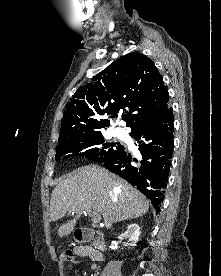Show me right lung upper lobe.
Listing matches in <instances>:
<instances>
[{
  "instance_id": "1",
  "label": "right lung upper lobe",
  "mask_w": 221,
  "mask_h": 276,
  "mask_svg": "<svg viewBox=\"0 0 221 276\" xmlns=\"http://www.w3.org/2000/svg\"><path fill=\"white\" fill-rule=\"evenodd\" d=\"M81 86L67 103L59 142L100 132L110 125L93 115L116 117L120 111L131 129L150 122L169 108L168 90L154 63L139 52H132L111 63Z\"/></svg>"
}]
</instances>
